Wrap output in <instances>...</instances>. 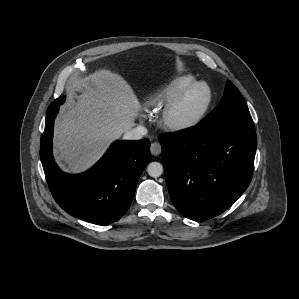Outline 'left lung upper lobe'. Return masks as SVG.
Listing matches in <instances>:
<instances>
[{
  "instance_id": "left-lung-upper-lobe-1",
  "label": "left lung upper lobe",
  "mask_w": 299,
  "mask_h": 299,
  "mask_svg": "<svg viewBox=\"0 0 299 299\" xmlns=\"http://www.w3.org/2000/svg\"><path fill=\"white\" fill-rule=\"evenodd\" d=\"M197 125L210 130L254 128L247 104L230 80L219 105Z\"/></svg>"
}]
</instances>
